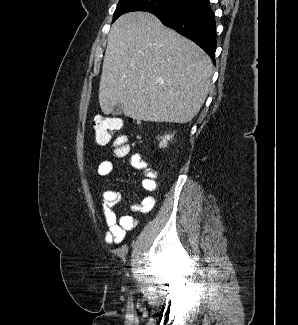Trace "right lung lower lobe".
<instances>
[{
    "label": "right lung lower lobe",
    "mask_w": 298,
    "mask_h": 325,
    "mask_svg": "<svg viewBox=\"0 0 298 325\" xmlns=\"http://www.w3.org/2000/svg\"><path fill=\"white\" fill-rule=\"evenodd\" d=\"M160 21L200 46L215 63V16L209 0H193L188 5L167 13H157Z\"/></svg>",
    "instance_id": "1"
}]
</instances>
